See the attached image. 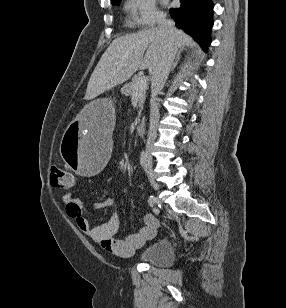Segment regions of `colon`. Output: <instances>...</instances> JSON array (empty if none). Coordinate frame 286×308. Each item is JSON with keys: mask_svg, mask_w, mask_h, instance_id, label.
Segmentation results:
<instances>
[{"mask_svg": "<svg viewBox=\"0 0 286 308\" xmlns=\"http://www.w3.org/2000/svg\"><path fill=\"white\" fill-rule=\"evenodd\" d=\"M51 184L56 189L72 190L75 187V176L63 168H53L50 173Z\"/></svg>", "mask_w": 286, "mask_h": 308, "instance_id": "5ec220e1", "label": "colon"}]
</instances>
